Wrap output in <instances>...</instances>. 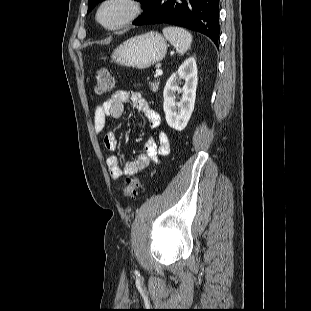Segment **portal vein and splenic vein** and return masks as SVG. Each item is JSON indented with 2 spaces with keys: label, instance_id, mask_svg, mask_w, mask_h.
<instances>
[{
  "label": "portal vein and splenic vein",
  "instance_id": "obj_1",
  "mask_svg": "<svg viewBox=\"0 0 311 311\" xmlns=\"http://www.w3.org/2000/svg\"><path fill=\"white\" fill-rule=\"evenodd\" d=\"M163 74V71L161 69L156 70V76H161Z\"/></svg>",
  "mask_w": 311,
  "mask_h": 311
}]
</instances>
